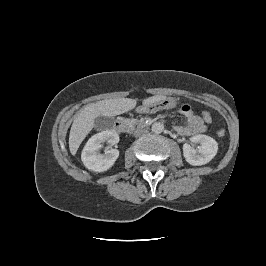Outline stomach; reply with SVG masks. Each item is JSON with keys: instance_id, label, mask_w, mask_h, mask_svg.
Here are the masks:
<instances>
[{"instance_id": "0dacf381", "label": "stomach", "mask_w": 266, "mask_h": 266, "mask_svg": "<svg viewBox=\"0 0 266 266\" xmlns=\"http://www.w3.org/2000/svg\"><path fill=\"white\" fill-rule=\"evenodd\" d=\"M172 105V101L169 99H163L158 102H154L151 104H144L142 106L143 111L153 113L162 108L170 107Z\"/></svg>"}]
</instances>
